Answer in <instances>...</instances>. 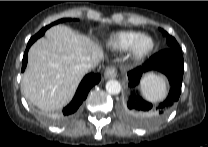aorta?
<instances>
[{"instance_id":"762f6f07","label":"aorta","mask_w":208,"mask_h":147,"mask_svg":"<svg viewBox=\"0 0 208 147\" xmlns=\"http://www.w3.org/2000/svg\"><path fill=\"white\" fill-rule=\"evenodd\" d=\"M106 91L109 94H119L121 91V85L117 80H109L106 83Z\"/></svg>"}]
</instances>
